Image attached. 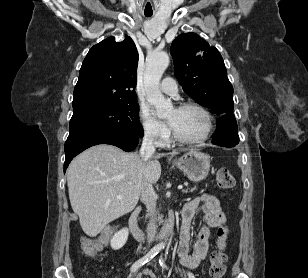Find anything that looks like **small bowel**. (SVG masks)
<instances>
[{"mask_svg": "<svg viewBox=\"0 0 308 278\" xmlns=\"http://www.w3.org/2000/svg\"><path fill=\"white\" fill-rule=\"evenodd\" d=\"M202 215V223L196 233L194 250L190 253L191 225L195 215ZM226 224V217L219 200L209 194H204L187 202L182 209V225L177 254L181 265L188 269H196L206 258L209 249L211 228H221ZM226 237L218 241V248L224 250ZM136 278H154L149 269H144Z\"/></svg>", "mask_w": 308, "mask_h": 278, "instance_id": "c3829d8e", "label": "small bowel"}]
</instances>
